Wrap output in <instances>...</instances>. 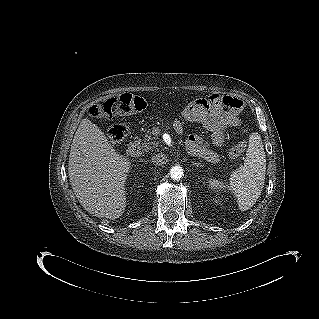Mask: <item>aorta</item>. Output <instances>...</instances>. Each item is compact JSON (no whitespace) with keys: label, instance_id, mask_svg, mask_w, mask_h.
Masks as SVG:
<instances>
[{"label":"aorta","instance_id":"1","mask_svg":"<svg viewBox=\"0 0 319 319\" xmlns=\"http://www.w3.org/2000/svg\"><path fill=\"white\" fill-rule=\"evenodd\" d=\"M183 175V168L181 166H173L170 169V176L173 180H180Z\"/></svg>","mask_w":319,"mask_h":319}]
</instances>
